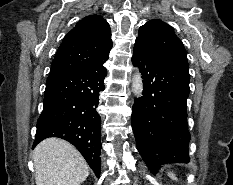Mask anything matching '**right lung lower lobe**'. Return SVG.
Segmentation results:
<instances>
[{
  "label": "right lung lower lobe",
  "mask_w": 233,
  "mask_h": 185,
  "mask_svg": "<svg viewBox=\"0 0 233 185\" xmlns=\"http://www.w3.org/2000/svg\"><path fill=\"white\" fill-rule=\"evenodd\" d=\"M106 75L104 66L50 74L33 147L48 137L63 138L81 152L99 177L101 117L96 107Z\"/></svg>",
  "instance_id": "1"
}]
</instances>
